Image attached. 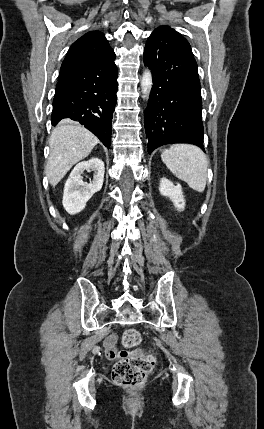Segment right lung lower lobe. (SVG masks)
I'll return each instance as SVG.
<instances>
[{
	"mask_svg": "<svg viewBox=\"0 0 264 429\" xmlns=\"http://www.w3.org/2000/svg\"><path fill=\"white\" fill-rule=\"evenodd\" d=\"M111 49L100 58L59 77L53 100L52 125L77 121L110 148L118 71Z\"/></svg>",
	"mask_w": 264,
	"mask_h": 429,
	"instance_id": "right-lung-lower-lobe-1",
	"label": "right lung lower lobe"
}]
</instances>
